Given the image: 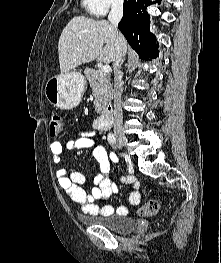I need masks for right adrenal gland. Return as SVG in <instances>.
Instances as JSON below:
<instances>
[{"mask_svg":"<svg viewBox=\"0 0 221 263\" xmlns=\"http://www.w3.org/2000/svg\"><path fill=\"white\" fill-rule=\"evenodd\" d=\"M124 61H125V58L122 60V64H123Z\"/></svg>","mask_w":221,"mask_h":263,"instance_id":"1","label":"right adrenal gland"}]
</instances>
